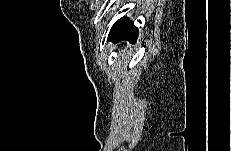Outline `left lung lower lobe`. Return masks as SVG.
Wrapping results in <instances>:
<instances>
[{
    "label": "left lung lower lobe",
    "mask_w": 231,
    "mask_h": 151,
    "mask_svg": "<svg viewBox=\"0 0 231 151\" xmlns=\"http://www.w3.org/2000/svg\"><path fill=\"white\" fill-rule=\"evenodd\" d=\"M138 35V28L134 26L128 18L122 17L112 26L108 40L115 43L121 40H128L131 43H134L137 40Z\"/></svg>",
    "instance_id": "obj_1"
}]
</instances>
